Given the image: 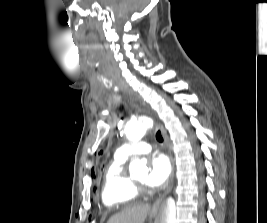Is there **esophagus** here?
<instances>
[{
	"mask_svg": "<svg viewBox=\"0 0 267 223\" xmlns=\"http://www.w3.org/2000/svg\"><path fill=\"white\" fill-rule=\"evenodd\" d=\"M158 129L161 131V134H162V137L164 139V143H165V146L167 147L169 153H170V159L172 161V164H173V158H172V155H171V146H170V143H169V139H168V136H167V133L164 129V127L162 125H158ZM173 168H174V164H173ZM173 175H174V171H172V175H171V184L169 185V187L167 188V190L165 191L164 195L159 198L153 205L152 207V212H157L159 206H160V203L162 201V199L164 198L165 195H167L170 190L172 189V183H173Z\"/></svg>",
	"mask_w": 267,
	"mask_h": 223,
	"instance_id": "obj_1",
	"label": "esophagus"
}]
</instances>
